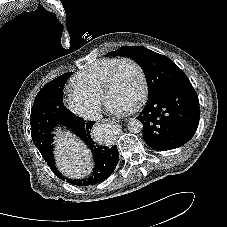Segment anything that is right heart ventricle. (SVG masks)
Here are the masks:
<instances>
[{"label":"right heart ventricle","mask_w":227,"mask_h":227,"mask_svg":"<svg viewBox=\"0 0 227 227\" xmlns=\"http://www.w3.org/2000/svg\"><path fill=\"white\" fill-rule=\"evenodd\" d=\"M118 61L119 58H103L86 66L72 78L74 90L101 98L104 81Z\"/></svg>","instance_id":"right-heart-ventricle-1"}]
</instances>
